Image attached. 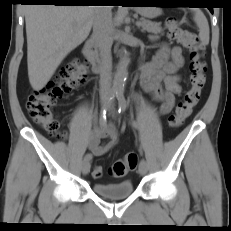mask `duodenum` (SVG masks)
<instances>
[{
	"label": "duodenum",
	"mask_w": 231,
	"mask_h": 231,
	"mask_svg": "<svg viewBox=\"0 0 231 231\" xmlns=\"http://www.w3.org/2000/svg\"><path fill=\"white\" fill-rule=\"evenodd\" d=\"M83 53L86 59L92 65V69L94 73H101L102 72V63L99 56V53L96 48V44L93 40H89L85 43L83 47Z\"/></svg>",
	"instance_id": "obj_1"
}]
</instances>
